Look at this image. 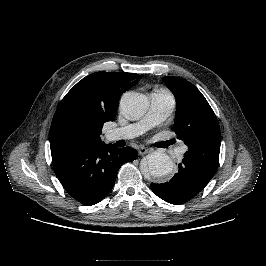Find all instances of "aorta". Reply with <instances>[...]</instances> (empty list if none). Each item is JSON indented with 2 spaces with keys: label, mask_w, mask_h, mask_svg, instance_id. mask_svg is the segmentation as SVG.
I'll list each match as a JSON object with an SVG mask.
<instances>
[{
  "label": "aorta",
  "mask_w": 266,
  "mask_h": 266,
  "mask_svg": "<svg viewBox=\"0 0 266 266\" xmlns=\"http://www.w3.org/2000/svg\"><path fill=\"white\" fill-rule=\"evenodd\" d=\"M121 109L130 117L138 118L143 116L149 107L148 98L137 92H126L121 97ZM171 158L163 151H155L146 156L142 164V171L152 177H163L173 170Z\"/></svg>",
  "instance_id": "762f6f07"
}]
</instances>
